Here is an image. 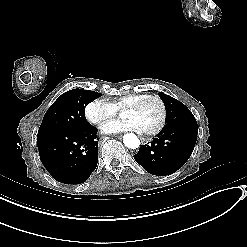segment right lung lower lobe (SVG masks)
Here are the masks:
<instances>
[{"mask_svg":"<svg viewBox=\"0 0 247 247\" xmlns=\"http://www.w3.org/2000/svg\"><path fill=\"white\" fill-rule=\"evenodd\" d=\"M97 129L54 130L37 135L42 164L58 182L81 184L95 170L98 162Z\"/></svg>","mask_w":247,"mask_h":247,"instance_id":"1","label":"right lung lower lobe"}]
</instances>
